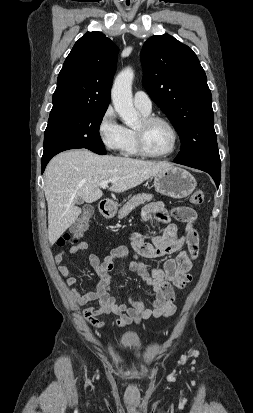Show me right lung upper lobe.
Instances as JSON below:
<instances>
[{
  "label": "right lung upper lobe",
  "mask_w": 253,
  "mask_h": 413,
  "mask_svg": "<svg viewBox=\"0 0 253 413\" xmlns=\"http://www.w3.org/2000/svg\"><path fill=\"white\" fill-rule=\"evenodd\" d=\"M118 51L103 33L84 34L58 75L50 115L107 109Z\"/></svg>",
  "instance_id": "1"
}]
</instances>
